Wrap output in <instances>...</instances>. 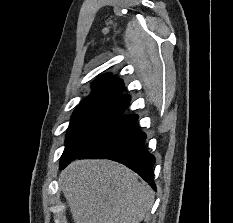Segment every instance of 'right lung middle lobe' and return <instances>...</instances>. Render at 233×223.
Listing matches in <instances>:
<instances>
[{
  "instance_id": "dd1d6c3e",
  "label": "right lung middle lobe",
  "mask_w": 233,
  "mask_h": 223,
  "mask_svg": "<svg viewBox=\"0 0 233 223\" xmlns=\"http://www.w3.org/2000/svg\"><path fill=\"white\" fill-rule=\"evenodd\" d=\"M126 107L123 95H89L73 113L63 154L83 153L118 120Z\"/></svg>"
}]
</instances>
